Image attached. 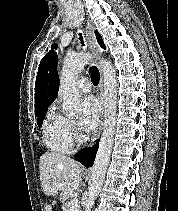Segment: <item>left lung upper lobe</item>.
<instances>
[{
	"label": "left lung upper lobe",
	"mask_w": 178,
	"mask_h": 211,
	"mask_svg": "<svg viewBox=\"0 0 178 211\" xmlns=\"http://www.w3.org/2000/svg\"><path fill=\"white\" fill-rule=\"evenodd\" d=\"M95 34H96V38H97V40H98L99 45H100L102 48H105L104 43H103V40H102L100 34H99L97 31H95ZM51 48L56 49V48H57V44H53V45L51 46Z\"/></svg>",
	"instance_id": "obj_1"
}]
</instances>
